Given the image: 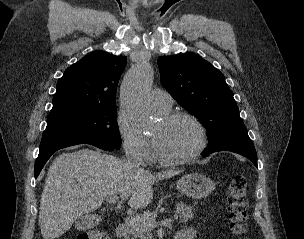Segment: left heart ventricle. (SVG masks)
<instances>
[{"label":"left heart ventricle","mask_w":304,"mask_h":239,"mask_svg":"<svg viewBox=\"0 0 304 239\" xmlns=\"http://www.w3.org/2000/svg\"><path fill=\"white\" fill-rule=\"evenodd\" d=\"M151 135L157 152L171 158L190 154L197 147L199 141L197 128L186 119L170 123L161 120Z\"/></svg>","instance_id":"b2bd125f"}]
</instances>
